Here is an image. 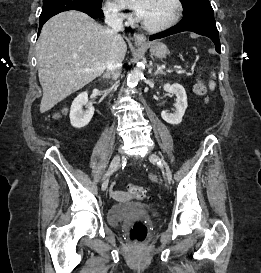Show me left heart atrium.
Masks as SVG:
<instances>
[{
	"label": "left heart atrium",
	"mask_w": 261,
	"mask_h": 273,
	"mask_svg": "<svg viewBox=\"0 0 261 273\" xmlns=\"http://www.w3.org/2000/svg\"><path fill=\"white\" fill-rule=\"evenodd\" d=\"M126 6L132 8L136 17L143 19L149 0H121Z\"/></svg>",
	"instance_id": "obj_1"
}]
</instances>
